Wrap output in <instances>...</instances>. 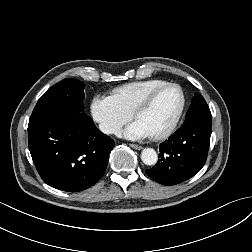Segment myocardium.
<instances>
[{
    "mask_svg": "<svg viewBox=\"0 0 252 252\" xmlns=\"http://www.w3.org/2000/svg\"><path fill=\"white\" fill-rule=\"evenodd\" d=\"M168 87H176L179 90V92L181 94V104H180L179 110H178L173 122L171 123V125L166 130L152 136L156 140L165 139V138L169 137L176 130V128H177V126L183 116V113H184V110L186 107V102H187L186 94H185L183 88L178 83L166 82V83L152 89L136 105L134 111L132 112L133 117L137 118L141 112L146 110L152 104V102L155 99V97L157 96V94Z\"/></svg>",
    "mask_w": 252,
    "mask_h": 252,
    "instance_id": "obj_1",
    "label": "myocardium"
}]
</instances>
